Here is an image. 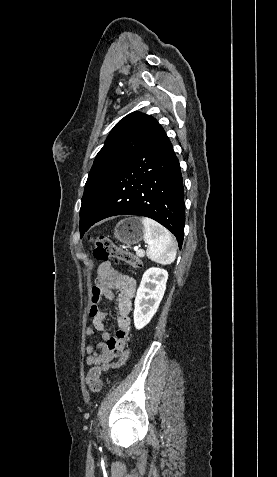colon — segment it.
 Here are the masks:
<instances>
[{
  "instance_id": "colon-1",
  "label": "colon",
  "mask_w": 277,
  "mask_h": 477,
  "mask_svg": "<svg viewBox=\"0 0 277 477\" xmlns=\"http://www.w3.org/2000/svg\"><path fill=\"white\" fill-rule=\"evenodd\" d=\"M93 255L97 260L106 261L112 259L116 264L126 263L129 268H142L143 260L140 256L117 246L106 236L99 235L93 238ZM101 370L98 367L90 369L87 375V384L92 391H98L101 387Z\"/></svg>"
}]
</instances>
